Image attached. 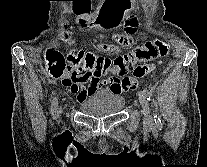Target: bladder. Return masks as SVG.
Returning <instances> with one entry per match:
<instances>
[{"label":"bladder","instance_id":"31cf9c89","mask_svg":"<svg viewBox=\"0 0 207 167\" xmlns=\"http://www.w3.org/2000/svg\"><path fill=\"white\" fill-rule=\"evenodd\" d=\"M125 100L117 95H105L88 99L80 105V110L92 117H104L118 114L124 107Z\"/></svg>","mask_w":207,"mask_h":167}]
</instances>
